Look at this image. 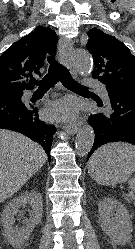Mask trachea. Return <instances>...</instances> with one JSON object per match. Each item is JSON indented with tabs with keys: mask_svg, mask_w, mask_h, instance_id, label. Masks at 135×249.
Returning a JSON list of instances; mask_svg holds the SVG:
<instances>
[{
	"mask_svg": "<svg viewBox=\"0 0 135 249\" xmlns=\"http://www.w3.org/2000/svg\"><path fill=\"white\" fill-rule=\"evenodd\" d=\"M48 62L50 64L48 73L40 81H31L32 84H37L40 89H48L60 81L67 89L72 91H88L86 87L78 84L71 77L68 69L56 61L53 57H49Z\"/></svg>",
	"mask_w": 135,
	"mask_h": 249,
	"instance_id": "3493384b",
	"label": "trachea"
}]
</instances>
